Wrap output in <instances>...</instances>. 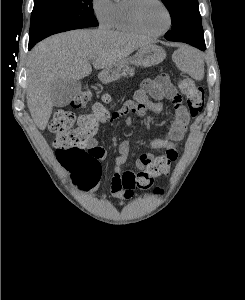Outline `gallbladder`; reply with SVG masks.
I'll return each mask as SVG.
<instances>
[{
  "label": "gallbladder",
  "mask_w": 245,
  "mask_h": 300,
  "mask_svg": "<svg viewBox=\"0 0 245 300\" xmlns=\"http://www.w3.org/2000/svg\"><path fill=\"white\" fill-rule=\"evenodd\" d=\"M81 82L75 79L63 80L55 84L51 91L52 101L56 107L68 105L80 92Z\"/></svg>",
  "instance_id": "bac80fb5"
}]
</instances>
